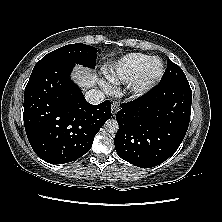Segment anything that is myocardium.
Instances as JSON below:
<instances>
[{"instance_id": "obj_1", "label": "myocardium", "mask_w": 222, "mask_h": 222, "mask_svg": "<svg viewBox=\"0 0 222 222\" xmlns=\"http://www.w3.org/2000/svg\"><path fill=\"white\" fill-rule=\"evenodd\" d=\"M158 61L160 69L156 73H152V65ZM165 71V66L161 58L152 57L146 64L140 75L132 82L131 92L134 96H142L149 92L162 78Z\"/></svg>"}]
</instances>
